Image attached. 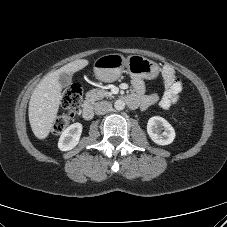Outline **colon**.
<instances>
[{"label":"colon","mask_w":227,"mask_h":227,"mask_svg":"<svg viewBox=\"0 0 227 227\" xmlns=\"http://www.w3.org/2000/svg\"><path fill=\"white\" fill-rule=\"evenodd\" d=\"M82 100L83 91L79 84H73L66 90L61 102L64 112L54 121V133H61L66 128L70 120L79 112Z\"/></svg>","instance_id":"obj_1"}]
</instances>
